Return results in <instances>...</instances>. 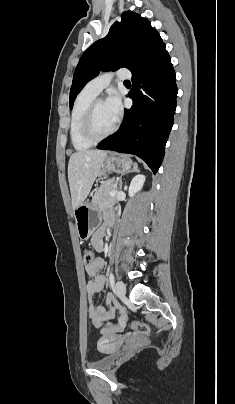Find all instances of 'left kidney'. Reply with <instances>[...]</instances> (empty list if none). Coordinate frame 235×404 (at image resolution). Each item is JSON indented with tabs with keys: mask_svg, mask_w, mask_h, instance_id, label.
<instances>
[{
	"mask_svg": "<svg viewBox=\"0 0 235 404\" xmlns=\"http://www.w3.org/2000/svg\"><path fill=\"white\" fill-rule=\"evenodd\" d=\"M145 176L142 174L136 175L129 186V196L133 197L138 191H140L144 185Z\"/></svg>",
	"mask_w": 235,
	"mask_h": 404,
	"instance_id": "left-kidney-1",
	"label": "left kidney"
}]
</instances>
